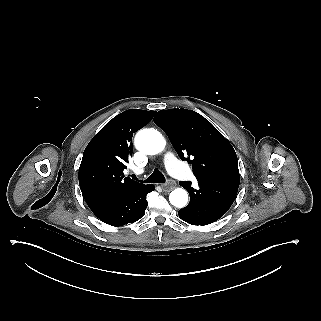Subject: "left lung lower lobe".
Returning <instances> with one entry per match:
<instances>
[{"mask_svg":"<svg viewBox=\"0 0 321 321\" xmlns=\"http://www.w3.org/2000/svg\"><path fill=\"white\" fill-rule=\"evenodd\" d=\"M199 188L190 181H180L190 195L189 204L180 209L182 220L192 225H207L222 217L233 204L239 187V174L197 178Z\"/></svg>","mask_w":321,"mask_h":321,"instance_id":"obj_1","label":"left lung lower lobe"}]
</instances>
